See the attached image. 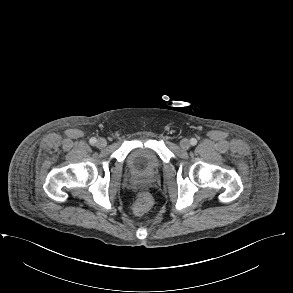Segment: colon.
I'll use <instances>...</instances> for the list:
<instances>
[{"label":"colon","instance_id":"5ec220e1","mask_svg":"<svg viewBox=\"0 0 293 293\" xmlns=\"http://www.w3.org/2000/svg\"><path fill=\"white\" fill-rule=\"evenodd\" d=\"M152 206V197L147 192H140L134 205V213L138 216L145 214Z\"/></svg>","mask_w":293,"mask_h":293}]
</instances>
